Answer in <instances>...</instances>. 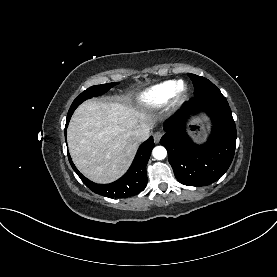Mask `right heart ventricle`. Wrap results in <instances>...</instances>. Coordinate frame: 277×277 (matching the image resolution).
I'll return each mask as SVG.
<instances>
[{
    "mask_svg": "<svg viewBox=\"0 0 277 277\" xmlns=\"http://www.w3.org/2000/svg\"><path fill=\"white\" fill-rule=\"evenodd\" d=\"M176 83L174 80L164 81L143 91L138 96L139 105L145 109L161 107L171 99Z\"/></svg>",
    "mask_w": 277,
    "mask_h": 277,
    "instance_id": "obj_1",
    "label": "right heart ventricle"
}]
</instances>
